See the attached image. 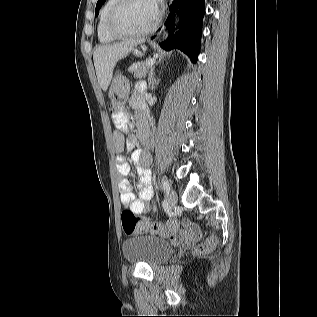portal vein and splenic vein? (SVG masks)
I'll return each mask as SVG.
<instances>
[{
    "mask_svg": "<svg viewBox=\"0 0 317 317\" xmlns=\"http://www.w3.org/2000/svg\"><path fill=\"white\" fill-rule=\"evenodd\" d=\"M154 63H155V60H150V61L147 62V65L148 66H152Z\"/></svg>",
    "mask_w": 317,
    "mask_h": 317,
    "instance_id": "portal-vein-and-splenic-vein-1",
    "label": "portal vein and splenic vein"
}]
</instances>
